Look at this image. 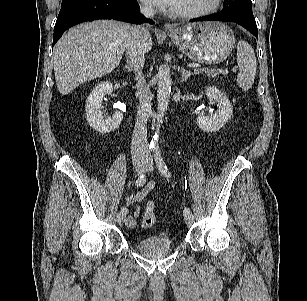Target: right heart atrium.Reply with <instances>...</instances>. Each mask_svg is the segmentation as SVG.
Returning a JSON list of instances; mask_svg holds the SVG:
<instances>
[{
	"label": "right heart atrium",
	"mask_w": 307,
	"mask_h": 301,
	"mask_svg": "<svg viewBox=\"0 0 307 301\" xmlns=\"http://www.w3.org/2000/svg\"><path fill=\"white\" fill-rule=\"evenodd\" d=\"M143 1H145V0H143ZM147 2V1H146ZM143 8L145 9V10H151V6L148 4V3H144L143 4Z\"/></svg>",
	"instance_id": "right-heart-atrium-1"
}]
</instances>
